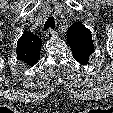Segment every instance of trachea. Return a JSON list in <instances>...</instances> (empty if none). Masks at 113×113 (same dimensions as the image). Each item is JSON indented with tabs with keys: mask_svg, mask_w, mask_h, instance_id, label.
I'll use <instances>...</instances> for the list:
<instances>
[{
	"mask_svg": "<svg viewBox=\"0 0 113 113\" xmlns=\"http://www.w3.org/2000/svg\"><path fill=\"white\" fill-rule=\"evenodd\" d=\"M55 28V20L52 16H50L44 24L43 30L54 29Z\"/></svg>",
	"mask_w": 113,
	"mask_h": 113,
	"instance_id": "3493384b",
	"label": "trachea"
}]
</instances>
